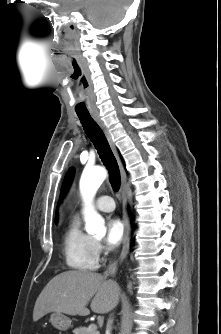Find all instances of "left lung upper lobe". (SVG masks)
I'll return each mask as SVG.
<instances>
[{
	"label": "left lung upper lobe",
	"instance_id": "1",
	"mask_svg": "<svg viewBox=\"0 0 221 334\" xmlns=\"http://www.w3.org/2000/svg\"><path fill=\"white\" fill-rule=\"evenodd\" d=\"M73 174H74V171L73 169H70L65 177V180H64V183H63V187H62V196L65 194V192L67 191L70 183H71V180L73 178Z\"/></svg>",
	"mask_w": 221,
	"mask_h": 334
}]
</instances>
